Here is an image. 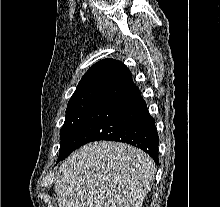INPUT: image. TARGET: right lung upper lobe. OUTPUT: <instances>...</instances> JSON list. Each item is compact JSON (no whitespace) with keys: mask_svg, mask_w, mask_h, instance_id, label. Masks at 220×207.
<instances>
[{"mask_svg":"<svg viewBox=\"0 0 220 207\" xmlns=\"http://www.w3.org/2000/svg\"><path fill=\"white\" fill-rule=\"evenodd\" d=\"M125 69H127L126 66L118 60H100L83 75L76 89L93 83H103L109 77Z\"/></svg>","mask_w":220,"mask_h":207,"instance_id":"obj_1","label":"right lung upper lobe"}]
</instances>
